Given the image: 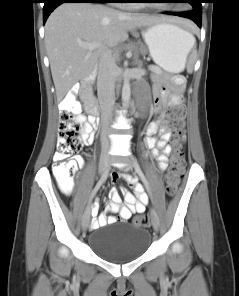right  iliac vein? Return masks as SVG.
I'll use <instances>...</instances> for the list:
<instances>
[{
    "label": "right iliac vein",
    "instance_id": "1",
    "mask_svg": "<svg viewBox=\"0 0 239 296\" xmlns=\"http://www.w3.org/2000/svg\"><path fill=\"white\" fill-rule=\"evenodd\" d=\"M110 163L109 155L107 153H103L100 157L99 161V172L101 174L105 173L108 170ZM90 212H91V205H89L88 209L84 212L82 217V229L85 232L90 223Z\"/></svg>",
    "mask_w": 239,
    "mask_h": 296
}]
</instances>
